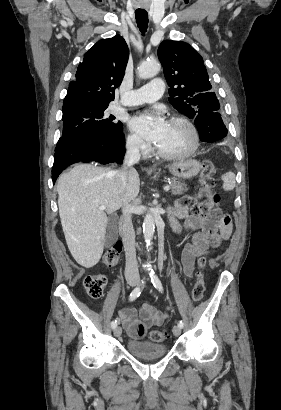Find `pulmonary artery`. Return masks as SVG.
Here are the masks:
<instances>
[{
    "label": "pulmonary artery",
    "mask_w": 281,
    "mask_h": 410,
    "mask_svg": "<svg viewBox=\"0 0 281 410\" xmlns=\"http://www.w3.org/2000/svg\"><path fill=\"white\" fill-rule=\"evenodd\" d=\"M164 92V82L157 78L139 89L124 94L120 100L122 105L135 106L157 101Z\"/></svg>",
    "instance_id": "1"
}]
</instances>
